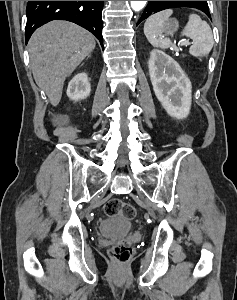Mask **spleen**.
Wrapping results in <instances>:
<instances>
[{
    "label": "spleen",
    "mask_w": 237,
    "mask_h": 300,
    "mask_svg": "<svg viewBox=\"0 0 237 300\" xmlns=\"http://www.w3.org/2000/svg\"><path fill=\"white\" fill-rule=\"evenodd\" d=\"M171 15H173L172 9H166V11L155 13V15H151L147 19L144 25V35L152 47L169 49L171 45L170 39H158L157 35H162L164 25ZM182 37L192 39L189 53L193 57H206L214 45L209 25H207L206 21H202L198 15H189L188 23L182 31Z\"/></svg>",
    "instance_id": "spleen-1"
}]
</instances>
